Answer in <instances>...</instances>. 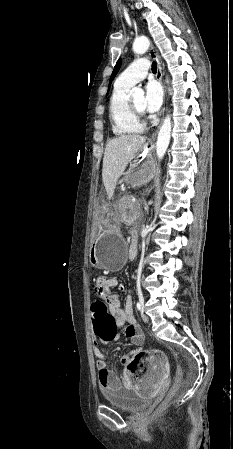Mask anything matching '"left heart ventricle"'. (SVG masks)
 Here are the masks:
<instances>
[{
  "label": "left heart ventricle",
  "instance_id": "left-heart-ventricle-1",
  "mask_svg": "<svg viewBox=\"0 0 233 449\" xmlns=\"http://www.w3.org/2000/svg\"><path fill=\"white\" fill-rule=\"evenodd\" d=\"M134 104L137 106L138 109L140 110H145V106H144V96H136L132 98Z\"/></svg>",
  "mask_w": 233,
  "mask_h": 449
}]
</instances>
